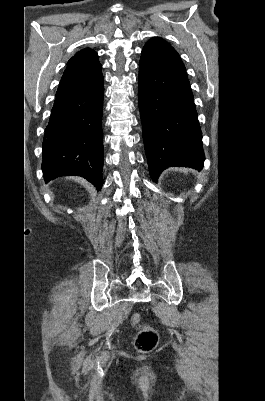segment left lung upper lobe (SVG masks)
I'll list each match as a JSON object with an SVG mask.
<instances>
[{"label":"left lung upper lobe","instance_id":"1","mask_svg":"<svg viewBox=\"0 0 265 401\" xmlns=\"http://www.w3.org/2000/svg\"><path fill=\"white\" fill-rule=\"evenodd\" d=\"M141 59L153 62L163 68L186 71L176 50L160 38H152L145 44Z\"/></svg>","mask_w":265,"mask_h":401}]
</instances>
